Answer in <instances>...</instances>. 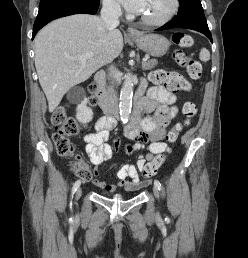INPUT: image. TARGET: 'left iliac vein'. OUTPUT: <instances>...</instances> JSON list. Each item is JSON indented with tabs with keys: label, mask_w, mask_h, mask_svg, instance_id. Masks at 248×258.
Instances as JSON below:
<instances>
[{
	"label": "left iliac vein",
	"mask_w": 248,
	"mask_h": 258,
	"mask_svg": "<svg viewBox=\"0 0 248 258\" xmlns=\"http://www.w3.org/2000/svg\"><path fill=\"white\" fill-rule=\"evenodd\" d=\"M153 192H154V195L157 199H159V189L156 187V186H153Z\"/></svg>",
	"instance_id": "1"
}]
</instances>
